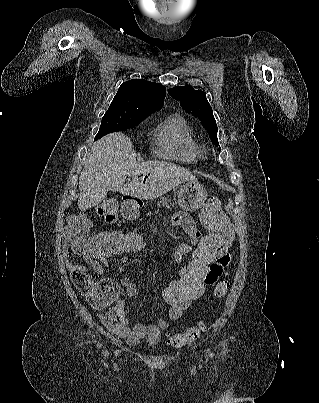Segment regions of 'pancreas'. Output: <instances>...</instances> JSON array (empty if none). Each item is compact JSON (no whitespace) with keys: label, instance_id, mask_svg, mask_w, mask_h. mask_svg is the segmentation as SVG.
<instances>
[{"label":"pancreas","instance_id":"obj_1","mask_svg":"<svg viewBox=\"0 0 319 403\" xmlns=\"http://www.w3.org/2000/svg\"><path fill=\"white\" fill-rule=\"evenodd\" d=\"M158 205H162V206H166L168 208L170 207H174L175 204L174 203H169V200L166 197H160V201L158 202Z\"/></svg>","mask_w":319,"mask_h":403}]
</instances>
